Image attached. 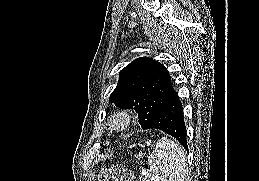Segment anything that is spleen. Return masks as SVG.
Wrapping results in <instances>:
<instances>
[{
  "label": "spleen",
  "instance_id": "spleen-1",
  "mask_svg": "<svg viewBox=\"0 0 259 181\" xmlns=\"http://www.w3.org/2000/svg\"><path fill=\"white\" fill-rule=\"evenodd\" d=\"M148 164L150 169L145 173L143 181H185L187 173L185 151L167 137L158 140Z\"/></svg>",
  "mask_w": 259,
  "mask_h": 181
}]
</instances>
